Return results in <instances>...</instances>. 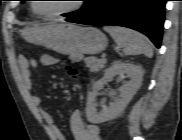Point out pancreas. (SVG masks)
<instances>
[{
    "mask_svg": "<svg viewBox=\"0 0 182 140\" xmlns=\"http://www.w3.org/2000/svg\"><path fill=\"white\" fill-rule=\"evenodd\" d=\"M101 59H97L96 57H87L85 58L86 67L89 68L91 72H97L104 67V64Z\"/></svg>",
    "mask_w": 182,
    "mask_h": 140,
    "instance_id": "cf45deb5",
    "label": "pancreas"
}]
</instances>
